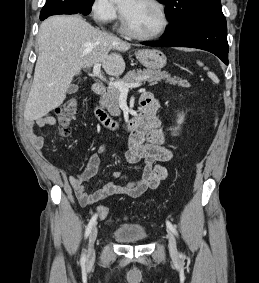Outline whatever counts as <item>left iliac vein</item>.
<instances>
[{
	"mask_svg": "<svg viewBox=\"0 0 259 283\" xmlns=\"http://www.w3.org/2000/svg\"><path fill=\"white\" fill-rule=\"evenodd\" d=\"M167 238L169 241V250L172 256L178 255L177 243L174 234L171 230H167Z\"/></svg>",
	"mask_w": 259,
	"mask_h": 283,
	"instance_id": "obj_1",
	"label": "left iliac vein"
}]
</instances>
